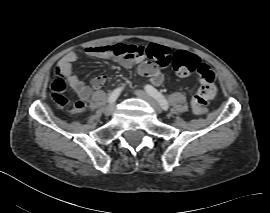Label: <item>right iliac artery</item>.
<instances>
[{"instance_id": "82829eb1", "label": "right iliac artery", "mask_w": 270, "mask_h": 213, "mask_svg": "<svg viewBox=\"0 0 270 213\" xmlns=\"http://www.w3.org/2000/svg\"><path fill=\"white\" fill-rule=\"evenodd\" d=\"M122 91V87L116 88L109 96L108 98V102L110 104L114 103L116 101V99L118 98V96L120 95Z\"/></svg>"}]
</instances>
